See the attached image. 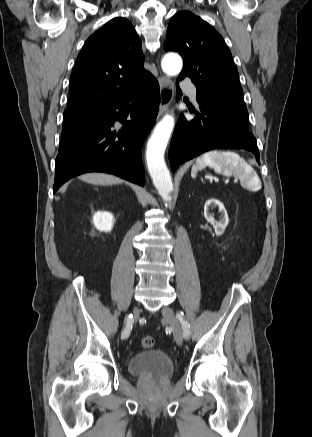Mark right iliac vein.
<instances>
[{
    "label": "right iliac vein",
    "instance_id": "63e3f726",
    "mask_svg": "<svg viewBox=\"0 0 312 437\" xmlns=\"http://www.w3.org/2000/svg\"><path fill=\"white\" fill-rule=\"evenodd\" d=\"M133 317H134V319H138V317H139V309L138 308H135L133 310Z\"/></svg>",
    "mask_w": 312,
    "mask_h": 437
}]
</instances>
